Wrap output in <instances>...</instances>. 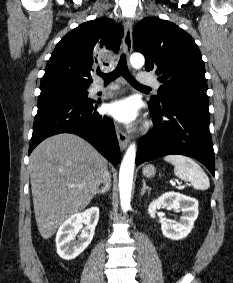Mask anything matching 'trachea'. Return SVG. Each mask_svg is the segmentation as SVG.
Listing matches in <instances>:
<instances>
[{"instance_id":"1","label":"trachea","mask_w":233,"mask_h":283,"mask_svg":"<svg viewBox=\"0 0 233 283\" xmlns=\"http://www.w3.org/2000/svg\"><path fill=\"white\" fill-rule=\"evenodd\" d=\"M98 75L101 76L104 80V83L108 84L112 82L113 80L117 79L119 76H123L127 82H129L133 87L137 89H150L149 87L143 86L139 84L134 77L131 75V73L128 70L127 64H126V58L125 55H122L117 67L115 70L111 73L104 74L102 72H98Z\"/></svg>"}]
</instances>
